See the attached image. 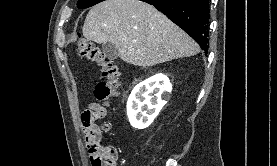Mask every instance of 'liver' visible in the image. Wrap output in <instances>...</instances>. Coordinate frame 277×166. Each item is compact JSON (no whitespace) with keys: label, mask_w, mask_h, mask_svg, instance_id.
<instances>
[{"label":"liver","mask_w":277,"mask_h":166,"mask_svg":"<svg viewBox=\"0 0 277 166\" xmlns=\"http://www.w3.org/2000/svg\"><path fill=\"white\" fill-rule=\"evenodd\" d=\"M83 36L111 42L126 63L149 67L199 53L198 44L152 5L139 0H105L91 8Z\"/></svg>","instance_id":"obj_1"}]
</instances>
